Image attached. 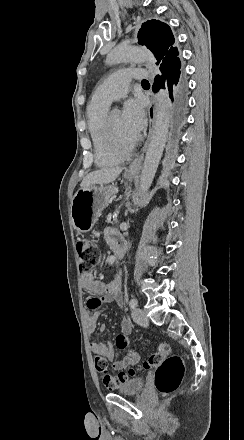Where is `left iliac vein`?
<instances>
[{"mask_svg":"<svg viewBox=\"0 0 244 440\" xmlns=\"http://www.w3.org/2000/svg\"><path fill=\"white\" fill-rule=\"evenodd\" d=\"M132 318H133L134 322H136L140 325H144V324L148 323V318L146 316L145 311L140 308H134L132 310Z\"/></svg>","mask_w":244,"mask_h":440,"instance_id":"left-iliac-vein-1","label":"left iliac vein"}]
</instances>
